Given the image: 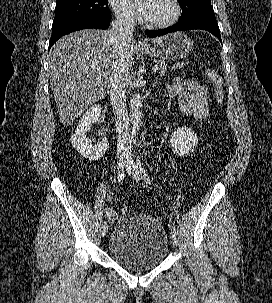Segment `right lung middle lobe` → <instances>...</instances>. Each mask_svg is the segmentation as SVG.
Wrapping results in <instances>:
<instances>
[{
  "mask_svg": "<svg viewBox=\"0 0 272 303\" xmlns=\"http://www.w3.org/2000/svg\"><path fill=\"white\" fill-rule=\"evenodd\" d=\"M84 17L111 18L108 0H57L52 26Z\"/></svg>",
  "mask_w": 272,
  "mask_h": 303,
  "instance_id": "dd1d6c3e",
  "label": "right lung middle lobe"
}]
</instances>
